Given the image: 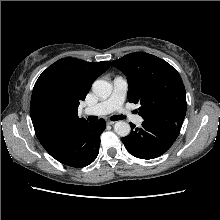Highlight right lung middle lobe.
I'll list each match as a JSON object with an SVG mask.
<instances>
[{"mask_svg": "<svg viewBox=\"0 0 220 220\" xmlns=\"http://www.w3.org/2000/svg\"><path fill=\"white\" fill-rule=\"evenodd\" d=\"M37 112L43 117L53 118L57 115L58 110L50 98H43L38 104Z\"/></svg>", "mask_w": 220, "mask_h": 220, "instance_id": "obj_1", "label": "right lung middle lobe"}]
</instances>
